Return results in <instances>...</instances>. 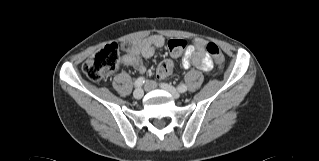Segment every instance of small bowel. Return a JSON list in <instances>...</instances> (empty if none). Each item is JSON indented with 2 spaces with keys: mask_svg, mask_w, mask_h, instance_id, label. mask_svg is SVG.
<instances>
[{
  "mask_svg": "<svg viewBox=\"0 0 319 161\" xmlns=\"http://www.w3.org/2000/svg\"><path fill=\"white\" fill-rule=\"evenodd\" d=\"M164 43V38L158 34H153L144 40L134 42L128 46L127 53L120 58V62L126 66H132L141 74H145L147 68L141 57L151 58L154 55L155 50L162 48ZM206 44L207 42L205 40L198 39L196 41V46L192 49H188L184 53L181 59L183 69H188L191 66L204 71L212 69V61L206 50ZM158 70L159 68L157 69V74ZM170 74L171 71L158 75L160 78H165Z\"/></svg>",
  "mask_w": 319,
  "mask_h": 161,
  "instance_id": "1",
  "label": "small bowel"
}]
</instances>
